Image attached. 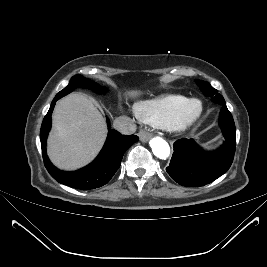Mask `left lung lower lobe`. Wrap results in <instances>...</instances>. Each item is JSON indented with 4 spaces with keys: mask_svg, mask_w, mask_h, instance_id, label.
Here are the masks:
<instances>
[{
    "mask_svg": "<svg viewBox=\"0 0 267 267\" xmlns=\"http://www.w3.org/2000/svg\"><path fill=\"white\" fill-rule=\"evenodd\" d=\"M219 124L225 142L214 152L197 148L191 139L174 143V154L166 168L174 181L182 186H203L227 172L233 162L236 137L234 120L226 106L221 108Z\"/></svg>",
    "mask_w": 267,
    "mask_h": 267,
    "instance_id": "0a47b994",
    "label": "left lung lower lobe"
}]
</instances>
